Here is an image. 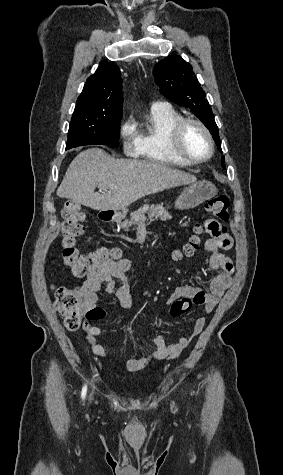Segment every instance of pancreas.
I'll list each match as a JSON object with an SVG mask.
<instances>
[{
	"instance_id": "cf45deb5",
	"label": "pancreas",
	"mask_w": 283,
	"mask_h": 475,
	"mask_svg": "<svg viewBox=\"0 0 283 475\" xmlns=\"http://www.w3.org/2000/svg\"><path fill=\"white\" fill-rule=\"evenodd\" d=\"M146 212H150L149 218H160V220H171L172 216H170L169 212H167L166 208H164L163 204H158V206H143V208H139L137 212H132L130 214L131 220H124L121 222V228H130L132 224H140V222H145L146 218L144 214Z\"/></svg>"
}]
</instances>
